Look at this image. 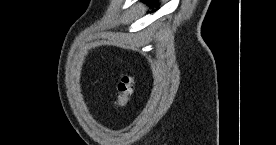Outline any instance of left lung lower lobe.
Here are the masks:
<instances>
[{
  "instance_id": "1",
  "label": "left lung lower lobe",
  "mask_w": 276,
  "mask_h": 145,
  "mask_svg": "<svg viewBox=\"0 0 276 145\" xmlns=\"http://www.w3.org/2000/svg\"><path fill=\"white\" fill-rule=\"evenodd\" d=\"M142 1H145V2H148V3H150V4H153V1L154 0H142ZM155 11V10H154Z\"/></svg>"
}]
</instances>
